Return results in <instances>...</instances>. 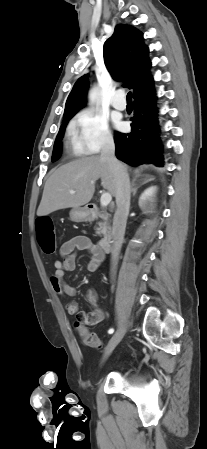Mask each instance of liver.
Wrapping results in <instances>:
<instances>
[{"label": "liver", "mask_w": 207, "mask_h": 449, "mask_svg": "<svg viewBox=\"0 0 207 449\" xmlns=\"http://www.w3.org/2000/svg\"><path fill=\"white\" fill-rule=\"evenodd\" d=\"M113 196L116 182L109 164L99 156L84 157L71 161L56 169L45 183L38 216L54 211L75 208L87 204L95 192V181ZM71 191H75L71 194Z\"/></svg>", "instance_id": "liver-1"}]
</instances>
